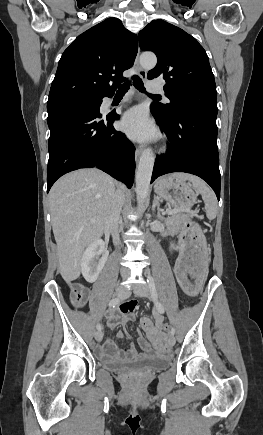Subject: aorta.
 Masks as SVG:
<instances>
[{
    "instance_id": "762f6f07",
    "label": "aorta",
    "mask_w": 263,
    "mask_h": 435,
    "mask_svg": "<svg viewBox=\"0 0 263 435\" xmlns=\"http://www.w3.org/2000/svg\"><path fill=\"white\" fill-rule=\"evenodd\" d=\"M157 63V58L154 54H142L140 64L151 69ZM155 157L151 149L143 151L136 171V196L138 209L142 210L149 194L150 180L152 176Z\"/></svg>"
}]
</instances>
